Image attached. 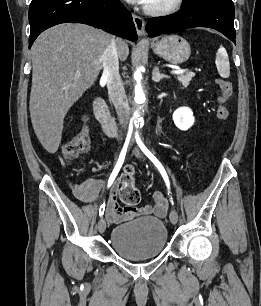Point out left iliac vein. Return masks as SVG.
<instances>
[{"label":"left iliac vein","instance_id":"1","mask_svg":"<svg viewBox=\"0 0 261 306\" xmlns=\"http://www.w3.org/2000/svg\"><path fill=\"white\" fill-rule=\"evenodd\" d=\"M133 153L137 158H142V153L140 152L138 148H135L133 150ZM169 218L172 224H176L178 221V212L175 209H172L170 212Z\"/></svg>","mask_w":261,"mask_h":306}]
</instances>
